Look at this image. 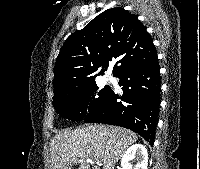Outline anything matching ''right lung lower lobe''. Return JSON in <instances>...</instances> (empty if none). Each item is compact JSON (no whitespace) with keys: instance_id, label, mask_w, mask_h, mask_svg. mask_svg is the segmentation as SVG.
I'll return each mask as SVG.
<instances>
[{"instance_id":"obj_1","label":"right lung lower lobe","mask_w":200,"mask_h":169,"mask_svg":"<svg viewBox=\"0 0 200 169\" xmlns=\"http://www.w3.org/2000/svg\"><path fill=\"white\" fill-rule=\"evenodd\" d=\"M124 95L112 89L103 104L83 119L129 128L154 144L160 104V73L157 57L117 76Z\"/></svg>"}]
</instances>
